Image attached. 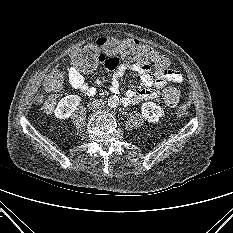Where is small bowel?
<instances>
[{"mask_svg":"<svg viewBox=\"0 0 233 233\" xmlns=\"http://www.w3.org/2000/svg\"><path fill=\"white\" fill-rule=\"evenodd\" d=\"M104 63L106 67L113 72L110 91L112 93H118L127 67L120 62L118 57L106 58ZM130 68L140 75L141 81L145 87L127 91L122 98V103L124 105H135L145 100L156 99L160 96V90L167 82L179 83L182 81V75L179 72L168 68L157 69L155 72L151 71L150 66L142 64H132ZM68 78L70 85L83 95L91 97L96 94V86L89 85L76 66L73 65L70 67ZM96 84L99 86L101 82L98 80Z\"/></svg>","mask_w":233,"mask_h":233,"instance_id":"small-bowel-1","label":"small bowel"}]
</instances>
